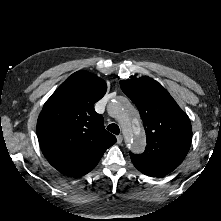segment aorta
<instances>
[{"label":"aorta","instance_id":"aorta-1","mask_svg":"<svg viewBox=\"0 0 221 221\" xmlns=\"http://www.w3.org/2000/svg\"><path fill=\"white\" fill-rule=\"evenodd\" d=\"M108 108L120 121L126 146L135 153H141L146 143L137 111L127 101H115Z\"/></svg>","mask_w":221,"mask_h":221}]
</instances>
